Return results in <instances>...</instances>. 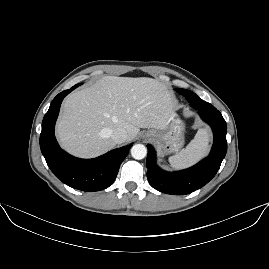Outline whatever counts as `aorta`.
<instances>
[{
  "label": "aorta",
  "instance_id": "aorta-1",
  "mask_svg": "<svg viewBox=\"0 0 269 269\" xmlns=\"http://www.w3.org/2000/svg\"><path fill=\"white\" fill-rule=\"evenodd\" d=\"M146 154V147L142 144H136L131 148V156L136 160L145 158Z\"/></svg>",
  "mask_w": 269,
  "mask_h": 269
}]
</instances>
